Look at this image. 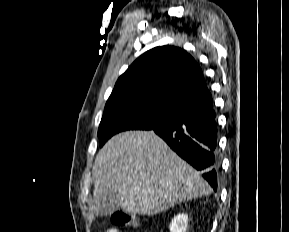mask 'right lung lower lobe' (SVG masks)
<instances>
[{"label":"right lung lower lobe","mask_w":289,"mask_h":232,"mask_svg":"<svg viewBox=\"0 0 289 232\" xmlns=\"http://www.w3.org/2000/svg\"><path fill=\"white\" fill-rule=\"evenodd\" d=\"M216 191L220 161L217 154V122L213 102L182 109L178 116L152 129Z\"/></svg>","instance_id":"right-lung-lower-lobe-1"}]
</instances>
